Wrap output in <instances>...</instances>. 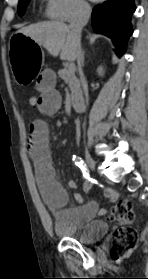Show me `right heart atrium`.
<instances>
[{
	"mask_svg": "<svg viewBox=\"0 0 148 279\" xmlns=\"http://www.w3.org/2000/svg\"><path fill=\"white\" fill-rule=\"evenodd\" d=\"M89 12L85 0H47L46 14L58 21H72L81 18Z\"/></svg>",
	"mask_w": 148,
	"mask_h": 279,
	"instance_id": "d8ad5b80",
	"label": "right heart atrium"
}]
</instances>
